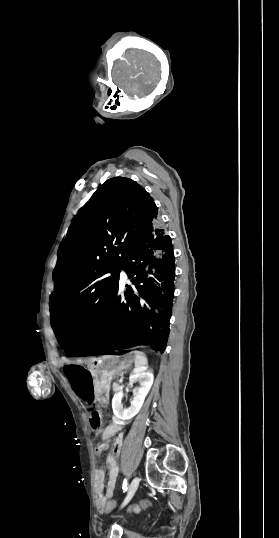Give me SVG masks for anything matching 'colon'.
I'll return each mask as SVG.
<instances>
[{"mask_svg":"<svg viewBox=\"0 0 279 538\" xmlns=\"http://www.w3.org/2000/svg\"><path fill=\"white\" fill-rule=\"evenodd\" d=\"M148 505H149V501L144 500V501L140 502L139 504L133 505L130 510L133 511V512H139L142 509L146 508ZM116 506H117V504L115 502L108 501L102 507H100V510L103 511V512H110V511L114 510L116 508Z\"/></svg>","mask_w":279,"mask_h":538,"instance_id":"1","label":"colon"}]
</instances>
